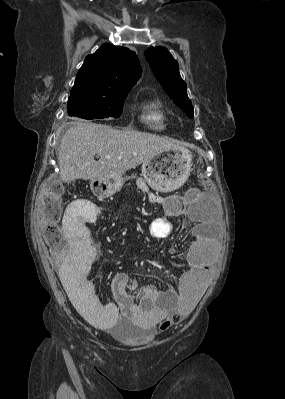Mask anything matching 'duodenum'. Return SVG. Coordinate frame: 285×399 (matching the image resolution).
Segmentation results:
<instances>
[{
    "instance_id": "410a0bca",
    "label": "duodenum",
    "mask_w": 285,
    "mask_h": 399,
    "mask_svg": "<svg viewBox=\"0 0 285 399\" xmlns=\"http://www.w3.org/2000/svg\"><path fill=\"white\" fill-rule=\"evenodd\" d=\"M76 217L78 218V219H84V216L79 212V211H76Z\"/></svg>"
}]
</instances>
